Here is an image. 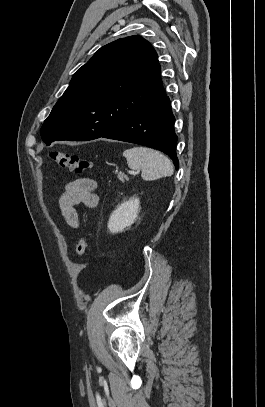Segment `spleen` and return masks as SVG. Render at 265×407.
Here are the masks:
<instances>
[{
	"label": "spleen",
	"mask_w": 265,
	"mask_h": 407,
	"mask_svg": "<svg viewBox=\"0 0 265 407\" xmlns=\"http://www.w3.org/2000/svg\"><path fill=\"white\" fill-rule=\"evenodd\" d=\"M123 156L129 168L140 170L144 180H156L172 176L171 161L159 151L147 147H133L126 149Z\"/></svg>",
	"instance_id": "1"
}]
</instances>
